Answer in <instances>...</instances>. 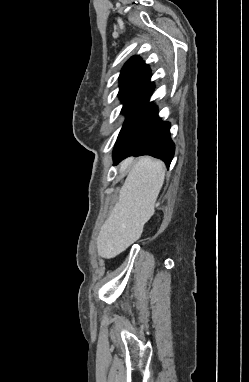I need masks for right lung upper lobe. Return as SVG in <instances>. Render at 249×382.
I'll return each instance as SVG.
<instances>
[{
  "label": "right lung upper lobe",
  "instance_id": "obj_1",
  "mask_svg": "<svg viewBox=\"0 0 249 382\" xmlns=\"http://www.w3.org/2000/svg\"><path fill=\"white\" fill-rule=\"evenodd\" d=\"M150 69L138 56L132 57L120 74L119 96L123 103H148L154 90Z\"/></svg>",
  "mask_w": 249,
  "mask_h": 382
}]
</instances>
